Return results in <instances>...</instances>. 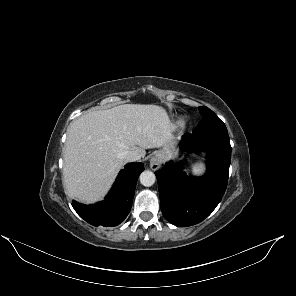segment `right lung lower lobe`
I'll return each mask as SVG.
<instances>
[{
	"mask_svg": "<svg viewBox=\"0 0 296 296\" xmlns=\"http://www.w3.org/2000/svg\"><path fill=\"white\" fill-rule=\"evenodd\" d=\"M143 170L142 163L127 164L120 171L104 201L92 205L73 201V208L80 217L94 226L113 227L120 224L130 212L136 182Z\"/></svg>",
	"mask_w": 296,
	"mask_h": 296,
	"instance_id": "right-lung-lower-lobe-1",
	"label": "right lung lower lobe"
}]
</instances>
